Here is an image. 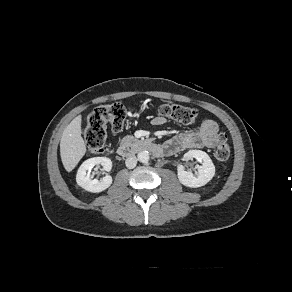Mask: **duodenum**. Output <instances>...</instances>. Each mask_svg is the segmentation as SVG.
<instances>
[{"mask_svg":"<svg viewBox=\"0 0 292 292\" xmlns=\"http://www.w3.org/2000/svg\"><path fill=\"white\" fill-rule=\"evenodd\" d=\"M142 150H149L156 154L159 152L157 145L150 139L125 138L120 143L118 154L121 157H128Z\"/></svg>","mask_w":292,"mask_h":292,"instance_id":"obj_1","label":"duodenum"}]
</instances>
